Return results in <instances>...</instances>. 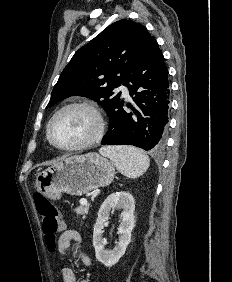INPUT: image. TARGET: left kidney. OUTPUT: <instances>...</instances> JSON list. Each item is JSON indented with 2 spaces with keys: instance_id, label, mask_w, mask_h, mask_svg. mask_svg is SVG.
Listing matches in <instances>:
<instances>
[{
  "instance_id": "left-kidney-1",
  "label": "left kidney",
  "mask_w": 232,
  "mask_h": 282,
  "mask_svg": "<svg viewBox=\"0 0 232 282\" xmlns=\"http://www.w3.org/2000/svg\"><path fill=\"white\" fill-rule=\"evenodd\" d=\"M115 208L123 209L121 224L118 230L119 241L114 249L108 251L104 248L103 229L104 223L108 220L110 211ZM135 201L133 196L125 191L110 194L101 205L93 231V245L96 259L106 267L115 265L124 255L127 246L131 241V232L135 227Z\"/></svg>"
}]
</instances>
